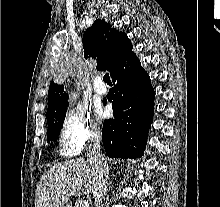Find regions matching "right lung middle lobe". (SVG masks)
Masks as SVG:
<instances>
[{"label":"right lung middle lobe","mask_w":220,"mask_h":207,"mask_svg":"<svg viewBox=\"0 0 220 207\" xmlns=\"http://www.w3.org/2000/svg\"><path fill=\"white\" fill-rule=\"evenodd\" d=\"M68 103L65 102L61 109L51 117L47 118L48 132L47 142L54 140L60 133L62 124L66 116V108Z\"/></svg>","instance_id":"dd1d6c3e"}]
</instances>
